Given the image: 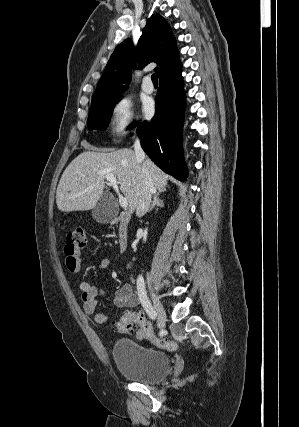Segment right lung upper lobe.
<instances>
[{
	"label": "right lung upper lobe",
	"mask_w": 299,
	"mask_h": 427,
	"mask_svg": "<svg viewBox=\"0 0 299 427\" xmlns=\"http://www.w3.org/2000/svg\"><path fill=\"white\" fill-rule=\"evenodd\" d=\"M138 61L145 66L150 62L158 64L155 69L159 79L181 70L179 51L175 37L167 21L160 15L153 14L147 21L137 48L131 39L120 43L109 59L100 78L92 101L122 93L128 87L131 78L130 64Z\"/></svg>",
	"instance_id": "cb5924a9"
}]
</instances>
